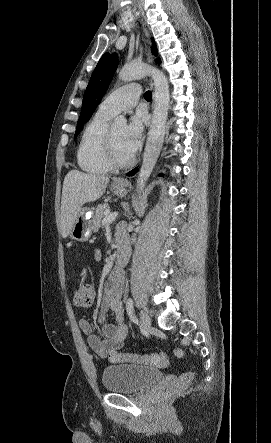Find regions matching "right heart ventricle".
Returning <instances> with one entry per match:
<instances>
[{
    "label": "right heart ventricle",
    "mask_w": 271,
    "mask_h": 443,
    "mask_svg": "<svg viewBox=\"0 0 271 443\" xmlns=\"http://www.w3.org/2000/svg\"><path fill=\"white\" fill-rule=\"evenodd\" d=\"M111 116L97 111L86 123L78 145V166L90 174H105L112 170L106 140Z\"/></svg>",
    "instance_id": "e07e8e85"
}]
</instances>
